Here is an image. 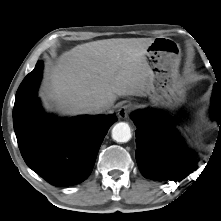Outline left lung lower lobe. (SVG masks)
Segmentation results:
<instances>
[{"mask_svg": "<svg viewBox=\"0 0 221 221\" xmlns=\"http://www.w3.org/2000/svg\"><path fill=\"white\" fill-rule=\"evenodd\" d=\"M210 116L220 123L221 85L213 88ZM136 161L144 177L157 181H181L197 169L196 154L189 151L173 122L160 111H136ZM216 143H221L218 134Z\"/></svg>", "mask_w": 221, "mask_h": 221, "instance_id": "1", "label": "left lung lower lobe"}]
</instances>
